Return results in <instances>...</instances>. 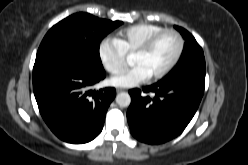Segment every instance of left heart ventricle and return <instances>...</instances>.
Here are the masks:
<instances>
[{"label":"left heart ventricle","mask_w":248,"mask_h":165,"mask_svg":"<svg viewBox=\"0 0 248 165\" xmlns=\"http://www.w3.org/2000/svg\"><path fill=\"white\" fill-rule=\"evenodd\" d=\"M178 42L174 35L166 34L145 54H134L133 65H142L150 76L161 71L174 57Z\"/></svg>","instance_id":"b2bd125f"}]
</instances>
